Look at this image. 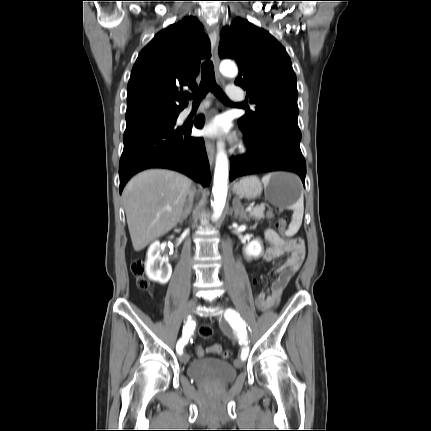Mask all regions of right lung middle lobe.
Segmentation results:
<instances>
[{
    "instance_id": "right-lung-middle-lobe-1",
    "label": "right lung middle lobe",
    "mask_w": 431,
    "mask_h": 431,
    "mask_svg": "<svg viewBox=\"0 0 431 431\" xmlns=\"http://www.w3.org/2000/svg\"><path fill=\"white\" fill-rule=\"evenodd\" d=\"M177 114H179V112L159 114V115L151 116V117H148V118H157V117H174V116H176ZM145 119H146V118H145ZM135 122H137V121H135ZM131 123H134V122H131ZM127 124H130V123H127Z\"/></svg>"
}]
</instances>
